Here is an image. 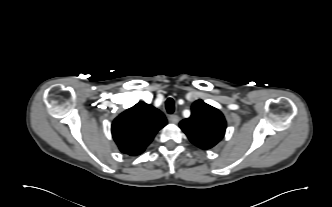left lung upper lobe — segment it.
<instances>
[{
  "mask_svg": "<svg viewBox=\"0 0 332 207\" xmlns=\"http://www.w3.org/2000/svg\"><path fill=\"white\" fill-rule=\"evenodd\" d=\"M179 126L194 145L207 150L224 137L226 121L218 109L197 100L192 104L191 116Z\"/></svg>",
  "mask_w": 332,
  "mask_h": 207,
  "instance_id": "5c2ea615",
  "label": "left lung upper lobe"
}]
</instances>
